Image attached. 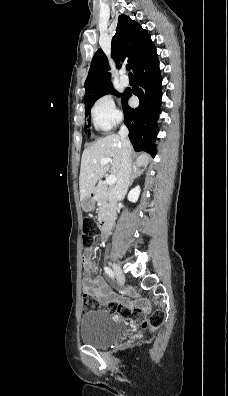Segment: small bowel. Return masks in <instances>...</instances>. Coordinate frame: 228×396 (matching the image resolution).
<instances>
[{"mask_svg": "<svg viewBox=\"0 0 228 396\" xmlns=\"http://www.w3.org/2000/svg\"><path fill=\"white\" fill-rule=\"evenodd\" d=\"M92 249L87 250V256L83 258L84 277L82 281L83 294L95 296L102 304H120L133 309L138 315L132 323L140 322V315L149 309L145 300L131 301L126 297L115 294L111 291L102 277L92 278L91 273L96 271V266L92 262Z\"/></svg>", "mask_w": 228, "mask_h": 396, "instance_id": "small-bowel-1", "label": "small bowel"}]
</instances>
